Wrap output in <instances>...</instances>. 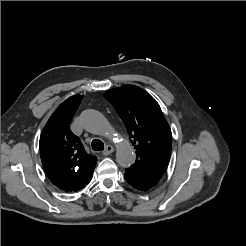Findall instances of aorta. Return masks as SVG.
Wrapping results in <instances>:
<instances>
[{"label": "aorta", "mask_w": 246, "mask_h": 246, "mask_svg": "<svg viewBox=\"0 0 246 246\" xmlns=\"http://www.w3.org/2000/svg\"><path fill=\"white\" fill-rule=\"evenodd\" d=\"M82 124L84 128L94 134L104 135L113 138V130L105 117L96 110H86L82 114ZM116 160L122 167H129L135 162V152L125 141L116 143Z\"/></svg>", "instance_id": "aorta-1"}]
</instances>
